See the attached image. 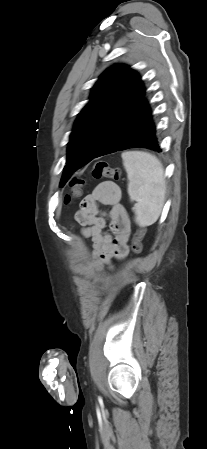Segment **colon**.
<instances>
[{
    "mask_svg": "<svg viewBox=\"0 0 207 449\" xmlns=\"http://www.w3.org/2000/svg\"><path fill=\"white\" fill-rule=\"evenodd\" d=\"M91 175L95 179L109 178L115 181L121 179L122 174L119 168H112L106 161H97L92 169ZM71 194L66 195L65 203L70 204L74 199L79 197L82 192V186L84 185V180L82 178H74L71 181ZM145 235V229H139L133 236L132 239V251L135 254H139L142 251V241Z\"/></svg>",
    "mask_w": 207,
    "mask_h": 449,
    "instance_id": "colon-1",
    "label": "colon"
}]
</instances>
